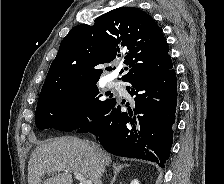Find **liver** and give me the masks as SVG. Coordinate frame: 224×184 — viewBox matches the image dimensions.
Listing matches in <instances>:
<instances>
[{
    "label": "liver",
    "instance_id": "1",
    "mask_svg": "<svg viewBox=\"0 0 224 184\" xmlns=\"http://www.w3.org/2000/svg\"><path fill=\"white\" fill-rule=\"evenodd\" d=\"M93 145L76 137H58L41 143L28 162V184H73L74 172L94 184H102L100 160ZM99 149L105 165H109L110 155ZM58 167L61 169L56 170ZM46 173L52 177L44 179Z\"/></svg>",
    "mask_w": 224,
    "mask_h": 184
}]
</instances>
